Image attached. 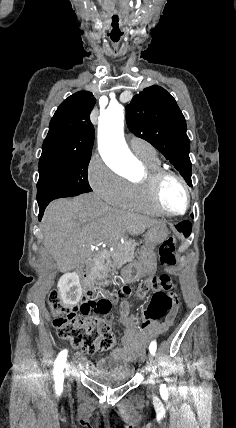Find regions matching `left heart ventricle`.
I'll return each instance as SVG.
<instances>
[{
	"label": "left heart ventricle",
	"mask_w": 236,
	"mask_h": 428,
	"mask_svg": "<svg viewBox=\"0 0 236 428\" xmlns=\"http://www.w3.org/2000/svg\"><path fill=\"white\" fill-rule=\"evenodd\" d=\"M163 199L165 204L175 210H182L185 206L186 196L183 187L175 180H168L163 186Z\"/></svg>",
	"instance_id": "obj_1"
}]
</instances>
